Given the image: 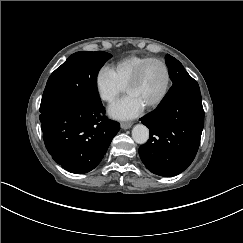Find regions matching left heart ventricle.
Returning <instances> with one entry per match:
<instances>
[{"mask_svg": "<svg viewBox=\"0 0 243 243\" xmlns=\"http://www.w3.org/2000/svg\"><path fill=\"white\" fill-rule=\"evenodd\" d=\"M166 85V70L160 63L151 62L144 68L139 80L127 90V93L136 96L146 106L162 95Z\"/></svg>", "mask_w": 243, "mask_h": 243, "instance_id": "left-heart-ventricle-1", "label": "left heart ventricle"}]
</instances>
